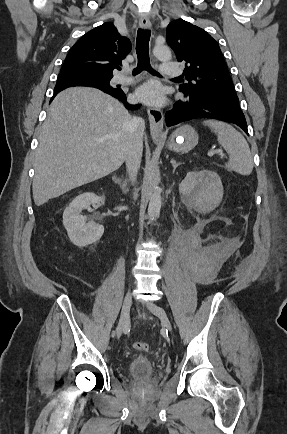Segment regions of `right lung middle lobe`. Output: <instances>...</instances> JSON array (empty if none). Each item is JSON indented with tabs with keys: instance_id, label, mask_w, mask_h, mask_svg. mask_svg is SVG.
<instances>
[{
	"instance_id": "1",
	"label": "right lung middle lobe",
	"mask_w": 287,
	"mask_h": 434,
	"mask_svg": "<svg viewBox=\"0 0 287 434\" xmlns=\"http://www.w3.org/2000/svg\"><path fill=\"white\" fill-rule=\"evenodd\" d=\"M112 77V75H101L89 71L62 70L58 76L57 82L77 81L92 87L113 90L115 88L111 87L109 84Z\"/></svg>"
}]
</instances>
